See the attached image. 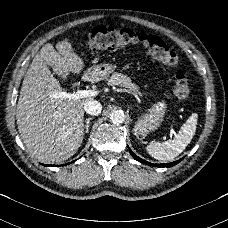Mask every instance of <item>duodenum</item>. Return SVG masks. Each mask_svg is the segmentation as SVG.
Returning a JSON list of instances; mask_svg holds the SVG:
<instances>
[{"mask_svg": "<svg viewBox=\"0 0 228 228\" xmlns=\"http://www.w3.org/2000/svg\"><path fill=\"white\" fill-rule=\"evenodd\" d=\"M92 75V72L89 71V73L86 75L87 77H90Z\"/></svg>", "mask_w": 228, "mask_h": 228, "instance_id": "410a0bca", "label": "duodenum"}]
</instances>
